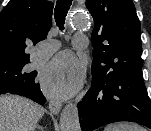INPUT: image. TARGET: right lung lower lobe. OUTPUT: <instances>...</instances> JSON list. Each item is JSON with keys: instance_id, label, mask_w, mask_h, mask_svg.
<instances>
[{"instance_id": "98d812e1", "label": "right lung lower lobe", "mask_w": 151, "mask_h": 131, "mask_svg": "<svg viewBox=\"0 0 151 131\" xmlns=\"http://www.w3.org/2000/svg\"><path fill=\"white\" fill-rule=\"evenodd\" d=\"M35 76L23 79L17 84H5L3 80L0 81V94L12 93L25 96L33 101L44 104L46 102L39 85L34 81Z\"/></svg>"}]
</instances>
